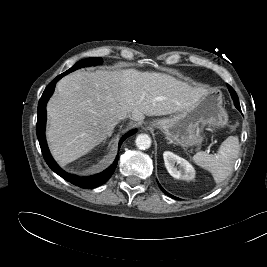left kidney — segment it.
<instances>
[{
    "instance_id": "5707ae66",
    "label": "left kidney",
    "mask_w": 267,
    "mask_h": 267,
    "mask_svg": "<svg viewBox=\"0 0 267 267\" xmlns=\"http://www.w3.org/2000/svg\"><path fill=\"white\" fill-rule=\"evenodd\" d=\"M163 158L166 169L172 177L186 181L195 178L194 167L184 158L169 151L163 153ZM176 164L179 165V168L176 167Z\"/></svg>"
}]
</instances>
